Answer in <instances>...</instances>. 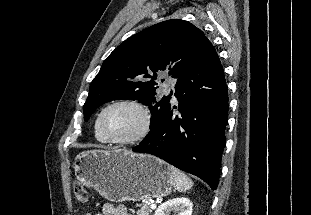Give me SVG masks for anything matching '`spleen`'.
Segmentation results:
<instances>
[{"instance_id":"3e777b00","label":"spleen","mask_w":311,"mask_h":215,"mask_svg":"<svg viewBox=\"0 0 311 215\" xmlns=\"http://www.w3.org/2000/svg\"><path fill=\"white\" fill-rule=\"evenodd\" d=\"M169 171L173 180V185L177 191L185 192L194 185L193 181L185 173L174 166H169Z\"/></svg>"}]
</instances>
